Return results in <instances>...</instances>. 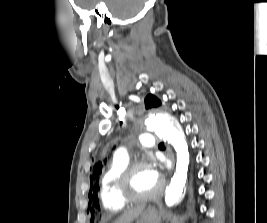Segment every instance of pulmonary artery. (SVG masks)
<instances>
[{
    "label": "pulmonary artery",
    "instance_id": "obj_1",
    "mask_svg": "<svg viewBox=\"0 0 267 223\" xmlns=\"http://www.w3.org/2000/svg\"><path fill=\"white\" fill-rule=\"evenodd\" d=\"M139 139H140L142 145L145 147L152 148L156 144V138L151 133L142 134V135H140ZM116 156L127 158L128 157V149L122 148V149L118 150Z\"/></svg>",
    "mask_w": 267,
    "mask_h": 223
}]
</instances>
